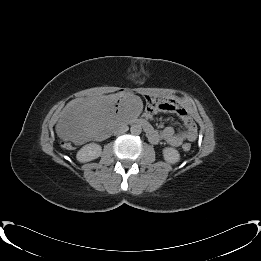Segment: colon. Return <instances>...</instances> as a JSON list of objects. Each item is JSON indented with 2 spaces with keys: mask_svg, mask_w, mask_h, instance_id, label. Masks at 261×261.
Instances as JSON below:
<instances>
[{
  "mask_svg": "<svg viewBox=\"0 0 261 261\" xmlns=\"http://www.w3.org/2000/svg\"><path fill=\"white\" fill-rule=\"evenodd\" d=\"M65 145H67V144H65ZM182 150H183L184 152H189V151L191 150V145H190L189 143L183 144Z\"/></svg>",
  "mask_w": 261,
  "mask_h": 261,
  "instance_id": "colon-1",
  "label": "colon"
}]
</instances>
